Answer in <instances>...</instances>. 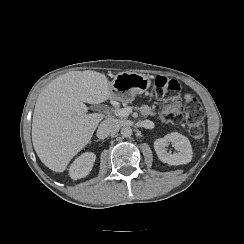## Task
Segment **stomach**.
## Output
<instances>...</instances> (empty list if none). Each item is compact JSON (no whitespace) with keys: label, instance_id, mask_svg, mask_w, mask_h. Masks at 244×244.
Here are the masks:
<instances>
[{"label":"stomach","instance_id":"1","mask_svg":"<svg viewBox=\"0 0 244 244\" xmlns=\"http://www.w3.org/2000/svg\"><path fill=\"white\" fill-rule=\"evenodd\" d=\"M150 85L151 80L145 74L119 72L109 83L110 98L121 102H131L137 94L144 93Z\"/></svg>","mask_w":244,"mask_h":244}]
</instances>
